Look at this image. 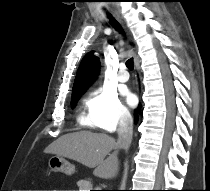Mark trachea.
<instances>
[{
	"label": "trachea",
	"mask_w": 210,
	"mask_h": 191,
	"mask_svg": "<svg viewBox=\"0 0 210 191\" xmlns=\"http://www.w3.org/2000/svg\"><path fill=\"white\" fill-rule=\"evenodd\" d=\"M109 18L111 20V23L113 26L120 32L123 33V28L120 26V24L111 16L109 15ZM126 66L128 69L132 70L133 69V58H130L126 61Z\"/></svg>",
	"instance_id": "obj_1"
}]
</instances>
